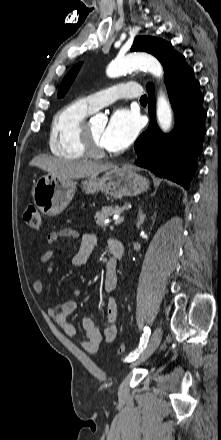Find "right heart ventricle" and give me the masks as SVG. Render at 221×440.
Here are the masks:
<instances>
[{
  "label": "right heart ventricle",
  "mask_w": 221,
  "mask_h": 440,
  "mask_svg": "<svg viewBox=\"0 0 221 440\" xmlns=\"http://www.w3.org/2000/svg\"><path fill=\"white\" fill-rule=\"evenodd\" d=\"M93 112L85 99H76L55 113L49 133V148L55 156L72 160L87 157L80 140V127Z\"/></svg>",
  "instance_id": "right-heart-ventricle-1"
}]
</instances>
